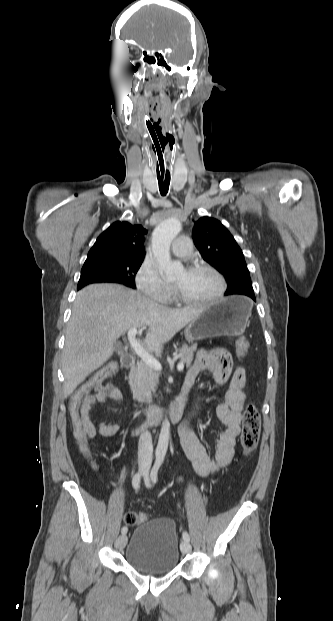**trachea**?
<instances>
[{
  "label": "trachea",
  "instance_id": "obj_1",
  "mask_svg": "<svg viewBox=\"0 0 333 621\" xmlns=\"http://www.w3.org/2000/svg\"><path fill=\"white\" fill-rule=\"evenodd\" d=\"M157 179L161 195L166 196L170 186V173H166L165 175L163 173L161 175L157 173Z\"/></svg>",
  "mask_w": 333,
  "mask_h": 621
}]
</instances>
